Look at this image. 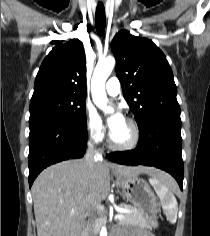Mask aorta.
Wrapping results in <instances>:
<instances>
[{"mask_svg": "<svg viewBox=\"0 0 210 236\" xmlns=\"http://www.w3.org/2000/svg\"><path fill=\"white\" fill-rule=\"evenodd\" d=\"M115 66V58L112 56H108L104 59L98 61L93 76L91 80V92L92 98L97 107L102 109L105 113L112 112L113 109L107 107V95L105 91V82L109 75L111 74L113 68ZM105 233V227L102 228L101 235ZM107 236V235H105Z\"/></svg>", "mask_w": 210, "mask_h": 236, "instance_id": "obj_1", "label": "aorta"}]
</instances>
